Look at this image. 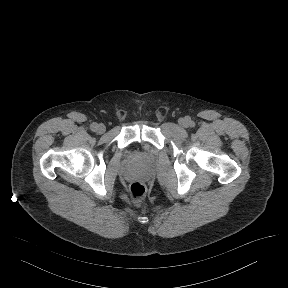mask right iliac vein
<instances>
[{
	"label": "right iliac vein",
	"mask_w": 288,
	"mask_h": 288,
	"mask_svg": "<svg viewBox=\"0 0 288 288\" xmlns=\"http://www.w3.org/2000/svg\"><path fill=\"white\" fill-rule=\"evenodd\" d=\"M96 130H97L98 133L102 134V133L105 132L106 127L104 126V124H98Z\"/></svg>",
	"instance_id": "right-iliac-vein-1"
}]
</instances>
